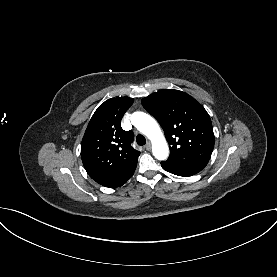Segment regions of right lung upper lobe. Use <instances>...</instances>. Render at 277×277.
Segmentation results:
<instances>
[{"instance_id": "1", "label": "right lung upper lobe", "mask_w": 277, "mask_h": 277, "mask_svg": "<svg viewBox=\"0 0 277 277\" xmlns=\"http://www.w3.org/2000/svg\"><path fill=\"white\" fill-rule=\"evenodd\" d=\"M133 99L106 100L93 114L81 144V158L89 176L106 187H120L133 175L139 151L131 143L134 135L124 131L121 119Z\"/></svg>"}]
</instances>
